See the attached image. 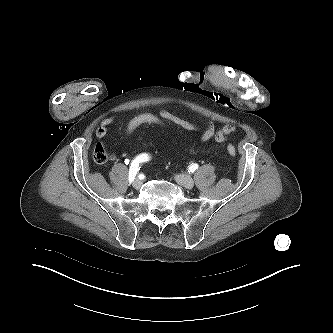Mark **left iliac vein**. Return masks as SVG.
<instances>
[{"label": "left iliac vein", "mask_w": 333, "mask_h": 333, "mask_svg": "<svg viewBox=\"0 0 333 333\" xmlns=\"http://www.w3.org/2000/svg\"><path fill=\"white\" fill-rule=\"evenodd\" d=\"M175 180L179 185L188 189H191L194 186V181L188 174H178L175 176Z\"/></svg>", "instance_id": "4c4485c4"}]
</instances>
